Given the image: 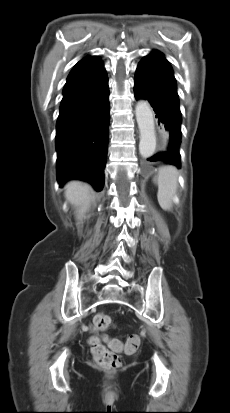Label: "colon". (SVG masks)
Here are the masks:
<instances>
[{"mask_svg": "<svg viewBox=\"0 0 230 413\" xmlns=\"http://www.w3.org/2000/svg\"><path fill=\"white\" fill-rule=\"evenodd\" d=\"M111 317L107 314L99 313L94 317V328L103 331L111 324ZM141 339L139 334H132L125 345L126 353H134L140 345ZM90 347L96 362L107 369H116L121 365L120 356L113 350L107 348L97 338L90 340ZM114 349H120V346L114 343Z\"/></svg>", "mask_w": 230, "mask_h": 413, "instance_id": "colon-1", "label": "colon"}]
</instances>
